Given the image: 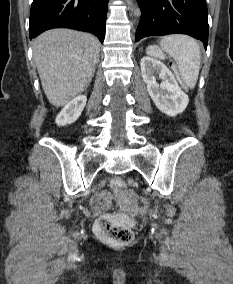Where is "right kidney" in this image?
Here are the masks:
<instances>
[{
    "label": "right kidney",
    "instance_id": "ca27d5eb",
    "mask_svg": "<svg viewBox=\"0 0 233 284\" xmlns=\"http://www.w3.org/2000/svg\"><path fill=\"white\" fill-rule=\"evenodd\" d=\"M86 101L87 97L85 95H79L72 99L57 115L56 124L58 126H65L74 123L81 115Z\"/></svg>",
    "mask_w": 233,
    "mask_h": 284
}]
</instances>
